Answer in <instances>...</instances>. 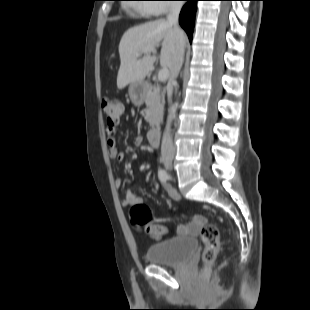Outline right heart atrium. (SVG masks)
<instances>
[{"mask_svg":"<svg viewBox=\"0 0 310 310\" xmlns=\"http://www.w3.org/2000/svg\"><path fill=\"white\" fill-rule=\"evenodd\" d=\"M156 3L149 5L150 8H152L154 15H161L166 13L170 8L171 5L169 2L171 0H152Z\"/></svg>","mask_w":310,"mask_h":310,"instance_id":"obj_1","label":"right heart atrium"}]
</instances>
